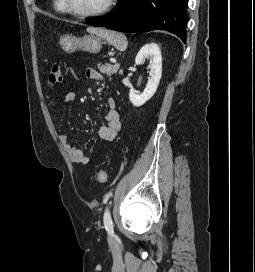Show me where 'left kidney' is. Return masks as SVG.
<instances>
[{"label": "left kidney", "mask_w": 255, "mask_h": 272, "mask_svg": "<svg viewBox=\"0 0 255 272\" xmlns=\"http://www.w3.org/2000/svg\"><path fill=\"white\" fill-rule=\"evenodd\" d=\"M146 58H150L151 60L146 88L140 95L135 94L132 90L129 93V99L136 107L142 106L153 97L162 76V56L159 46L156 43L146 44L140 49L135 58L136 65L142 64Z\"/></svg>", "instance_id": "5707ae66"}]
</instances>
